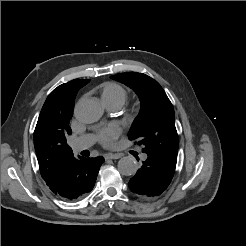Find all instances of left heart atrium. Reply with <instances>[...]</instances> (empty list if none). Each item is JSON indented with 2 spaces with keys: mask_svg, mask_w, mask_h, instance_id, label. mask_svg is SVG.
I'll return each mask as SVG.
<instances>
[{
  "mask_svg": "<svg viewBox=\"0 0 246 246\" xmlns=\"http://www.w3.org/2000/svg\"><path fill=\"white\" fill-rule=\"evenodd\" d=\"M120 132L121 130L118 126L110 125L98 131V139L102 145L110 147L113 145Z\"/></svg>",
  "mask_w": 246,
  "mask_h": 246,
  "instance_id": "left-heart-atrium-1",
  "label": "left heart atrium"
}]
</instances>
